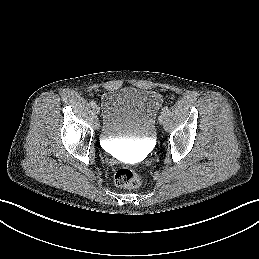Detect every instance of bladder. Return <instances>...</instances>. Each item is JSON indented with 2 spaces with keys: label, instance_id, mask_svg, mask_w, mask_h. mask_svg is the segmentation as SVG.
I'll return each mask as SVG.
<instances>
[{
  "label": "bladder",
  "instance_id": "obj_1",
  "mask_svg": "<svg viewBox=\"0 0 259 259\" xmlns=\"http://www.w3.org/2000/svg\"><path fill=\"white\" fill-rule=\"evenodd\" d=\"M161 103L160 94L151 89L125 87L107 92L102 98V139L149 143L155 137Z\"/></svg>",
  "mask_w": 259,
  "mask_h": 259
}]
</instances>
